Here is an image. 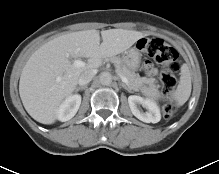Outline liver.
Returning <instances> with one entry per match:
<instances>
[{
    "mask_svg": "<svg viewBox=\"0 0 219 174\" xmlns=\"http://www.w3.org/2000/svg\"><path fill=\"white\" fill-rule=\"evenodd\" d=\"M84 30L58 36L38 48L26 62L19 81L24 108L36 121L52 124L57 110L78 84L86 70H95L103 59L120 54L143 37L138 31L109 29ZM88 58L83 67H75L73 58Z\"/></svg>",
    "mask_w": 219,
    "mask_h": 174,
    "instance_id": "liver-1",
    "label": "liver"
}]
</instances>
